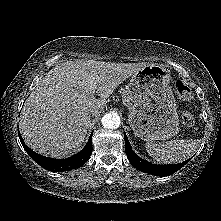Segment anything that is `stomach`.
<instances>
[{
    "label": "stomach",
    "mask_w": 221,
    "mask_h": 221,
    "mask_svg": "<svg viewBox=\"0 0 221 221\" xmlns=\"http://www.w3.org/2000/svg\"><path fill=\"white\" fill-rule=\"evenodd\" d=\"M170 80L169 69L151 64L134 73L123 89L122 101L129 111V125L135 136L144 141H164L179 132Z\"/></svg>",
    "instance_id": "stomach-1"
}]
</instances>
